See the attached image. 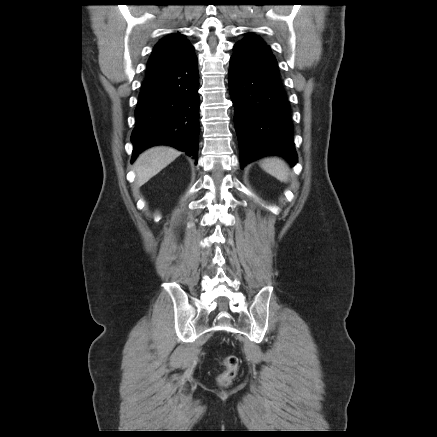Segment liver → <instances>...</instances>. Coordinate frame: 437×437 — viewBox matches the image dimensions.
Instances as JSON below:
<instances>
[{
	"label": "liver",
	"mask_w": 437,
	"mask_h": 437,
	"mask_svg": "<svg viewBox=\"0 0 437 437\" xmlns=\"http://www.w3.org/2000/svg\"><path fill=\"white\" fill-rule=\"evenodd\" d=\"M181 153L168 146H155L141 153L133 165L136 184L141 186L173 162Z\"/></svg>",
	"instance_id": "1"
}]
</instances>
